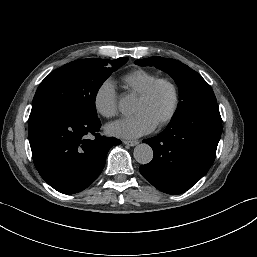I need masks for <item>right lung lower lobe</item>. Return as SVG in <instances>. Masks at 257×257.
<instances>
[{"mask_svg": "<svg viewBox=\"0 0 257 257\" xmlns=\"http://www.w3.org/2000/svg\"><path fill=\"white\" fill-rule=\"evenodd\" d=\"M98 117L82 118L59 112H31L28 120L33 161L54 189L74 194L88 187L105 166L109 149L121 143L101 136ZM89 136H94L89 139Z\"/></svg>", "mask_w": 257, "mask_h": 257, "instance_id": "98d812e1", "label": "right lung lower lobe"}]
</instances>
